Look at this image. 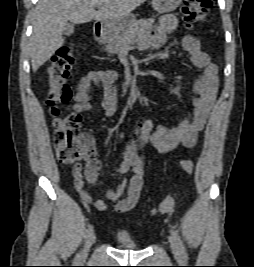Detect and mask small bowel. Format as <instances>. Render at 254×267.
Wrapping results in <instances>:
<instances>
[{"label":"small bowel","instance_id":"c3829d8e","mask_svg":"<svg viewBox=\"0 0 254 267\" xmlns=\"http://www.w3.org/2000/svg\"><path fill=\"white\" fill-rule=\"evenodd\" d=\"M178 22L175 16L167 14L159 18L152 34L141 44L142 49H156L167 41V33L177 28ZM182 48L188 54L192 64L202 69V73L195 80L193 88L197 97L194 100V114L192 118L185 119L176 127L168 129L157 124L151 118H140L136 122L132 142L126 147L123 160L117 172L125 174L131 171V177L120 181L114 190L107 191L104 197L115 204V210L120 213L134 208L140 197L143 186V157L137 153L135 143L139 138L144 144L155 148L159 153H168L179 146L192 148L196 145L198 133L206 124L212 106L216 99L218 89V67L210 61L203 51L199 39L187 35L182 40ZM115 71H91L81 78L76 93L73 97L72 113H82L93 109L91 91L94 85L101 84L104 95L100 100V106L106 116H112L118 108V100L115 88ZM100 170L98 159L88 162L84 174L81 165L73 168L74 188L81 200L86 204H92L96 209L104 211L106 203L94 200L85 190V182L95 185ZM127 189L126 197H122Z\"/></svg>","mask_w":254,"mask_h":267}]
</instances>
